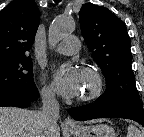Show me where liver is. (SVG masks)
<instances>
[{"instance_id": "obj_1", "label": "liver", "mask_w": 144, "mask_h": 137, "mask_svg": "<svg viewBox=\"0 0 144 137\" xmlns=\"http://www.w3.org/2000/svg\"><path fill=\"white\" fill-rule=\"evenodd\" d=\"M60 137V128L52 131ZM41 112L17 107H0V137H44Z\"/></svg>"}]
</instances>
